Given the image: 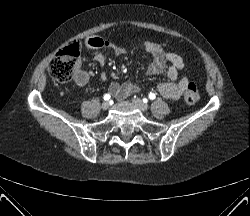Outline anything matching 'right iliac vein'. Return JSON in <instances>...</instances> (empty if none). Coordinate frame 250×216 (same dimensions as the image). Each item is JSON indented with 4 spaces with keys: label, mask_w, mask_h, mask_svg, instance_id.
<instances>
[{
    "label": "right iliac vein",
    "mask_w": 250,
    "mask_h": 216,
    "mask_svg": "<svg viewBox=\"0 0 250 216\" xmlns=\"http://www.w3.org/2000/svg\"><path fill=\"white\" fill-rule=\"evenodd\" d=\"M110 104L109 102L105 101L102 103L101 107L103 110H107L109 108Z\"/></svg>",
    "instance_id": "1"
}]
</instances>
